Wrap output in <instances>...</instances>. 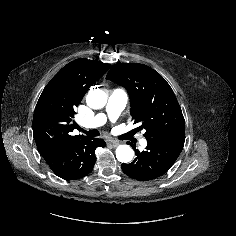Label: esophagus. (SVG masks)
I'll list each match as a JSON object with an SVG mask.
<instances>
[{"label":"esophagus","instance_id":"34e87169","mask_svg":"<svg viewBox=\"0 0 236 236\" xmlns=\"http://www.w3.org/2000/svg\"><path fill=\"white\" fill-rule=\"evenodd\" d=\"M108 143L111 144L114 147L119 145V141H116V140H109Z\"/></svg>","mask_w":236,"mask_h":236}]
</instances>
